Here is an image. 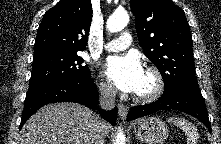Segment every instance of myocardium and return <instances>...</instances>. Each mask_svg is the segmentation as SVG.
Masks as SVG:
<instances>
[{
	"mask_svg": "<svg viewBox=\"0 0 221 144\" xmlns=\"http://www.w3.org/2000/svg\"><path fill=\"white\" fill-rule=\"evenodd\" d=\"M145 73L151 76L153 79V88L146 94H134V100L139 103H151L157 100L163 93L164 80L158 69L148 66L145 69Z\"/></svg>",
	"mask_w": 221,
	"mask_h": 144,
	"instance_id": "obj_1",
	"label": "myocardium"
}]
</instances>
